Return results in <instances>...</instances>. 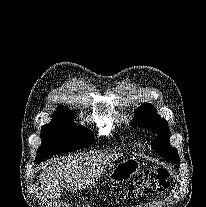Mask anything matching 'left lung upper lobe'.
Listing matches in <instances>:
<instances>
[{
	"instance_id": "5c2ea615",
	"label": "left lung upper lobe",
	"mask_w": 206,
	"mask_h": 207,
	"mask_svg": "<svg viewBox=\"0 0 206 207\" xmlns=\"http://www.w3.org/2000/svg\"><path fill=\"white\" fill-rule=\"evenodd\" d=\"M132 126L147 128L157 133V138L152 142V149L159 155L173 163H179L178 152L169 144V128L165 119L161 118L150 104H143L136 110Z\"/></svg>"
}]
</instances>
